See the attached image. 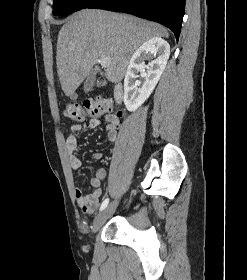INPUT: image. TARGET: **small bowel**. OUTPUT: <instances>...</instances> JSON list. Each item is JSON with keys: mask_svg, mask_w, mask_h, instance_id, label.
Instances as JSON below:
<instances>
[{"mask_svg": "<svg viewBox=\"0 0 247 280\" xmlns=\"http://www.w3.org/2000/svg\"><path fill=\"white\" fill-rule=\"evenodd\" d=\"M119 123V117L113 114L106 116L105 130L109 141H115L117 138V127ZM101 126V121L97 118H92L88 121H81L73 123L70 126V134L66 140V147L68 151V157L70 165L74 171H78L81 167V160L76 154L77 150V135L87 129H96ZM95 160H100L102 154L95 152L93 154ZM107 172L105 168H99L95 176L91 179V185L94 190L84 195L80 189L76 190V199L79 207L87 214H92L98 208L103 196V190L101 188V182L106 178Z\"/></svg>", "mask_w": 247, "mask_h": 280, "instance_id": "1", "label": "small bowel"}]
</instances>
